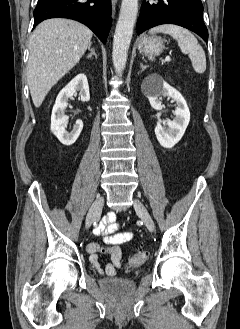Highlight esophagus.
Wrapping results in <instances>:
<instances>
[{"instance_id":"1","label":"esophagus","mask_w":240,"mask_h":329,"mask_svg":"<svg viewBox=\"0 0 240 329\" xmlns=\"http://www.w3.org/2000/svg\"><path fill=\"white\" fill-rule=\"evenodd\" d=\"M116 3H117V0H112V12H113V15L115 13Z\"/></svg>"}]
</instances>
